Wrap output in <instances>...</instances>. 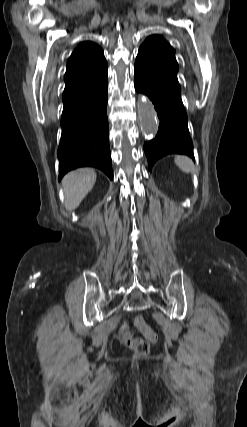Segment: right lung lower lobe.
I'll list each match as a JSON object with an SVG mask.
<instances>
[{"label":"right lung lower lobe","instance_id":"obj_1","mask_svg":"<svg viewBox=\"0 0 247 427\" xmlns=\"http://www.w3.org/2000/svg\"><path fill=\"white\" fill-rule=\"evenodd\" d=\"M108 68L63 92L62 135L57 156L59 181L79 167H96L113 178L106 114Z\"/></svg>","mask_w":247,"mask_h":427}]
</instances>
